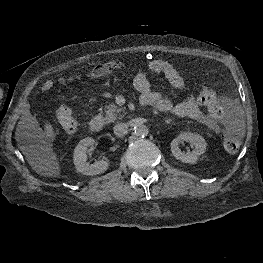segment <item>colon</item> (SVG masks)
<instances>
[{"instance_id":"1","label":"colon","mask_w":263,"mask_h":263,"mask_svg":"<svg viewBox=\"0 0 263 263\" xmlns=\"http://www.w3.org/2000/svg\"><path fill=\"white\" fill-rule=\"evenodd\" d=\"M117 67L122 68L123 64L120 62L115 63ZM201 103L206 106L209 112L215 116L220 117L224 112V104L218 100L217 95L214 91L205 89L200 94ZM56 115L61 127L67 133H75L78 129V122L73 116L70 109L65 106H60L56 110ZM241 143V134L239 130L231 128L226 130L223 135L224 148L230 152L235 153L238 151Z\"/></svg>"}]
</instances>
